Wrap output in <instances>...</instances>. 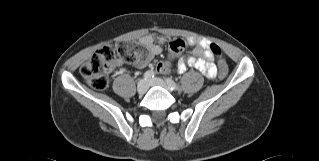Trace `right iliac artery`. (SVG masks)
Wrapping results in <instances>:
<instances>
[{
  "label": "right iliac artery",
  "mask_w": 319,
  "mask_h": 161,
  "mask_svg": "<svg viewBox=\"0 0 319 161\" xmlns=\"http://www.w3.org/2000/svg\"><path fill=\"white\" fill-rule=\"evenodd\" d=\"M143 77H144L145 80H151V79H153L155 77V73H154V71H150L149 70V71H146L144 73Z\"/></svg>",
  "instance_id": "obj_1"
}]
</instances>
